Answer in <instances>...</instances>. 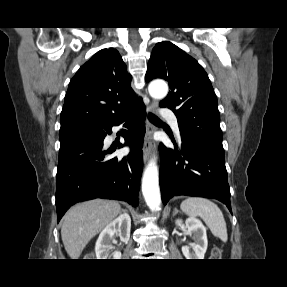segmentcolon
I'll return each mask as SVG.
<instances>
[{
  "label": "colon",
  "instance_id": "obj_1",
  "mask_svg": "<svg viewBox=\"0 0 287 287\" xmlns=\"http://www.w3.org/2000/svg\"><path fill=\"white\" fill-rule=\"evenodd\" d=\"M221 256V251L218 247H214L213 250H212V257L214 259H217Z\"/></svg>",
  "mask_w": 287,
  "mask_h": 287
}]
</instances>
